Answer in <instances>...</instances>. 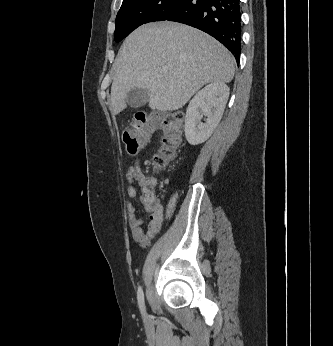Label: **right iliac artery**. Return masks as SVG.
I'll return each instance as SVG.
<instances>
[{"label":"right iliac artery","instance_id":"right-iliac-artery-1","mask_svg":"<svg viewBox=\"0 0 333 346\" xmlns=\"http://www.w3.org/2000/svg\"><path fill=\"white\" fill-rule=\"evenodd\" d=\"M137 299H138L140 311L142 315L144 316L145 315L144 293L141 287L138 288Z\"/></svg>","mask_w":333,"mask_h":346}]
</instances>
